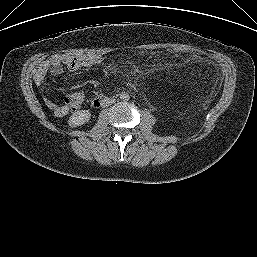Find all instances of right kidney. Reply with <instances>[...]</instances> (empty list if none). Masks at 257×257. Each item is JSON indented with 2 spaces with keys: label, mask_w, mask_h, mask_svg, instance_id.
<instances>
[{
  "label": "right kidney",
  "mask_w": 257,
  "mask_h": 257,
  "mask_svg": "<svg viewBox=\"0 0 257 257\" xmlns=\"http://www.w3.org/2000/svg\"><path fill=\"white\" fill-rule=\"evenodd\" d=\"M91 114L88 110H80L72 114L68 120L70 127H77L85 124L90 120Z\"/></svg>",
  "instance_id": "ca27d5eb"
}]
</instances>
